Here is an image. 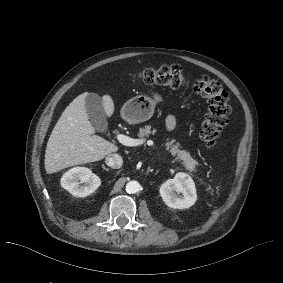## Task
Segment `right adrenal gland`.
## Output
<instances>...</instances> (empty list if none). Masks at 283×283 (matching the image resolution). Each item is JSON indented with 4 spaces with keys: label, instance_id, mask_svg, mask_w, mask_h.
I'll return each mask as SVG.
<instances>
[{
    "label": "right adrenal gland",
    "instance_id": "obj_1",
    "mask_svg": "<svg viewBox=\"0 0 283 283\" xmlns=\"http://www.w3.org/2000/svg\"><path fill=\"white\" fill-rule=\"evenodd\" d=\"M102 167H103L104 170L109 171V169H108V168H105L104 165H102Z\"/></svg>",
    "mask_w": 283,
    "mask_h": 283
}]
</instances>
